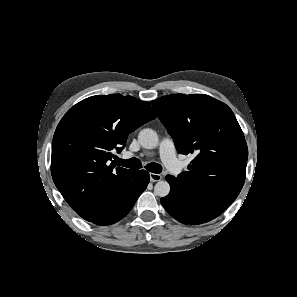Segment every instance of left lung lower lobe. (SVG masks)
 <instances>
[{"mask_svg":"<svg viewBox=\"0 0 297 297\" xmlns=\"http://www.w3.org/2000/svg\"><path fill=\"white\" fill-rule=\"evenodd\" d=\"M166 180L171 189L166 197L161 198V204L176 220L183 224L197 225L211 221L219 216L188 196L170 175L166 176Z\"/></svg>","mask_w":297,"mask_h":297,"instance_id":"0a47b994","label":"left lung lower lobe"}]
</instances>
